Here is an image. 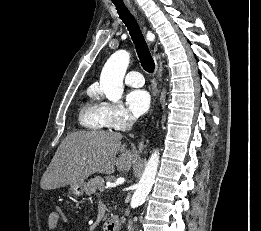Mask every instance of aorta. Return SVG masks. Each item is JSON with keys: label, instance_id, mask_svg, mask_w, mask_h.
Returning <instances> with one entry per match:
<instances>
[{"label": "aorta", "instance_id": "obj_1", "mask_svg": "<svg viewBox=\"0 0 261 231\" xmlns=\"http://www.w3.org/2000/svg\"><path fill=\"white\" fill-rule=\"evenodd\" d=\"M130 54L125 50L115 52L105 63L100 85L109 101L117 103L123 94V79L129 64ZM159 165V152L155 150L150 156L136 190L131 198V208H137L144 203L154 184Z\"/></svg>", "mask_w": 261, "mask_h": 231}]
</instances>
